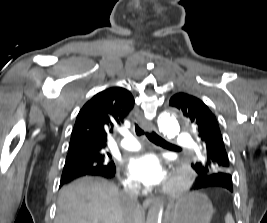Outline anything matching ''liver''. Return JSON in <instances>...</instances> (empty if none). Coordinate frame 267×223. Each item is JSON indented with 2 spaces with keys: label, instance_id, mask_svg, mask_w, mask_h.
<instances>
[{
  "label": "liver",
  "instance_id": "liver-1",
  "mask_svg": "<svg viewBox=\"0 0 267 223\" xmlns=\"http://www.w3.org/2000/svg\"><path fill=\"white\" fill-rule=\"evenodd\" d=\"M132 215L133 223H143L140 206ZM54 223H124L122 193L101 178L78 179L61 189Z\"/></svg>",
  "mask_w": 267,
  "mask_h": 223
}]
</instances>
